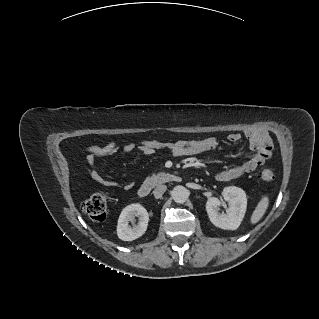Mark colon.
<instances>
[{"instance_id": "5ec220e1", "label": "colon", "mask_w": 319, "mask_h": 319, "mask_svg": "<svg viewBox=\"0 0 319 319\" xmlns=\"http://www.w3.org/2000/svg\"><path fill=\"white\" fill-rule=\"evenodd\" d=\"M259 152L266 158L270 157L272 152V143L270 140H265L259 147ZM261 178L264 181H272L274 173L271 170H263ZM82 211L90 219L95 221H103L107 213V198L103 193H95L87 198L82 205Z\"/></svg>"}]
</instances>
